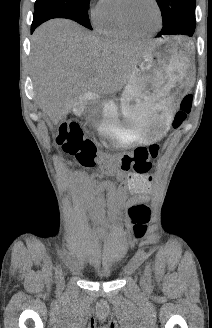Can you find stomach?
Instances as JSON below:
<instances>
[{"mask_svg":"<svg viewBox=\"0 0 212 328\" xmlns=\"http://www.w3.org/2000/svg\"><path fill=\"white\" fill-rule=\"evenodd\" d=\"M189 47L167 41L142 56L128 80L120 102H112L104 127L108 148L161 139L168 131L178 96L193 83ZM112 142V143H111Z\"/></svg>","mask_w":212,"mask_h":328,"instance_id":"obj_1","label":"stomach"}]
</instances>
